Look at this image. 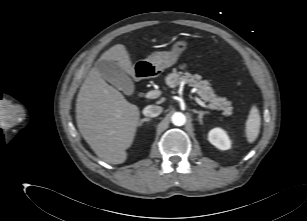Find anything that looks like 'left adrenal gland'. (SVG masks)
<instances>
[{
	"label": "left adrenal gland",
	"instance_id": "left-adrenal-gland-1",
	"mask_svg": "<svg viewBox=\"0 0 307 221\" xmlns=\"http://www.w3.org/2000/svg\"><path fill=\"white\" fill-rule=\"evenodd\" d=\"M193 112L196 113V114H198V120H199V123H200V124L203 123V116H204L205 114H209L208 111H198V110H195V109H193Z\"/></svg>",
	"mask_w": 307,
	"mask_h": 221
}]
</instances>
